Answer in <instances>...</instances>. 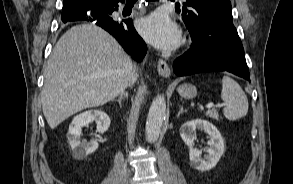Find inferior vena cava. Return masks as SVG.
<instances>
[{
  "instance_id": "inferior-vena-cava-1",
  "label": "inferior vena cava",
  "mask_w": 293,
  "mask_h": 184,
  "mask_svg": "<svg viewBox=\"0 0 293 184\" xmlns=\"http://www.w3.org/2000/svg\"><path fill=\"white\" fill-rule=\"evenodd\" d=\"M136 78H137V74H135L133 80H132V83H134L136 81Z\"/></svg>"
}]
</instances>
